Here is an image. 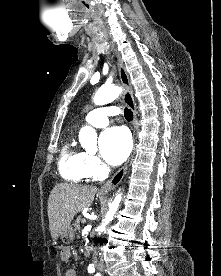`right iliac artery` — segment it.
<instances>
[{"label":"right iliac artery","mask_w":221,"mask_h":276,"mask_svg":"<svg viewBox=\"0 0 221 276\" xmlns=\"http://www.w3.org/2000/svg\"><path fill=\"white\" fill-rule=\"evenodd\" d=\"M94 271H95L94 267H91V266H90V267L88 268V272H89V273H93Z\"/></svg>","instance_id":"right-iliac-artery-1"}]
</instances>
